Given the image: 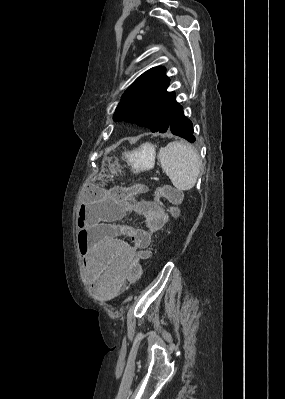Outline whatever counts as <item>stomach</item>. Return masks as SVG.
Returning <instances> with one entry per match:
<instances>
[{
	"label": "stomach",
	"instance_id": "obj_1",
	"mask_svg": "<svg viewBox=\"0 0 285 399\" xmlns=\"http://www.w3.org/2000/svg\"><path fill=\"white\" fill-rule=\"evenodd\" d=\"M132 169L138 171L153 168L155 163V149L150 144H145L139 149L126 153Z\"/></svg>",
	"mask_w": 285,
	"mask_h": 399
}]
</instances>
